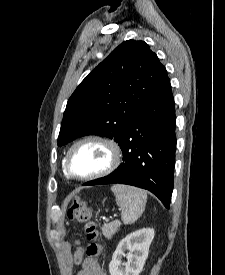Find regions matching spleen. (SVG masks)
<instances>
[{
  "label": "spleen",
  "instance_id": "spleen-1",
  "mask_svg": "<svg viewBox=\"0 0 225 275\" xmlns=\"http://www.w3.org/2000/svg\"><path fill=\"white\" fill-rule=\"evenodd\" d=\"M116 203L121 208V219L124 224L136 222L145 210L147 193L133 186L116 184L111 187Z\"/></svg>",
  "mask_w": 225,
  "mask_h": 275
}]
</instances>
